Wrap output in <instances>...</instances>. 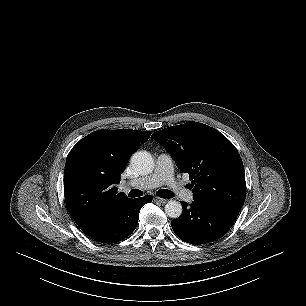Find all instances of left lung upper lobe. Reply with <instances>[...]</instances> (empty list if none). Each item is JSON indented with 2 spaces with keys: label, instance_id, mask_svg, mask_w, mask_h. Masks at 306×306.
<instances>
[{
  "label": "left lung upper lobe",
  "instance_id": "5c2ea615",
  "mask_svg": "<svg viewBox=\"0 0 306 306\" xmlns=\"http://www.w3.org/2000/svg\"><path fill=\"white\" fill-rule=\"evenodd\" d=\"M192 180L193 199L240 210L246 197L244 166L233 144L218 130L189 121L152 134Z\"/></svg>",
  "mask_w": 306,
  "mask_h": 306
}]
</instances>
